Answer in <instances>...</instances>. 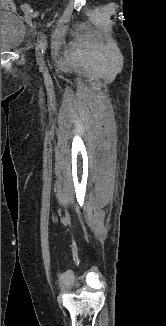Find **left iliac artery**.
<instances>
[{
  "mask_svg": "<svg viewBox=\"0 0 166 326\" xmlns=\"http://www.w3.org/2000/svg\"><path fill=\"white\" fill-rule=\"evenodd\" d=\"M39 37H40V43H41L40 46H41V48H42V53H45V51H46V46H47V43H46V36H45L43 33L40 32Z\"/></svg>",
  "mask_w": 166,
  "mask_h": 326,
  "instance_id": "left-iliac-artery-1",
  "label": "left iliac artery"
}]
</instances>
